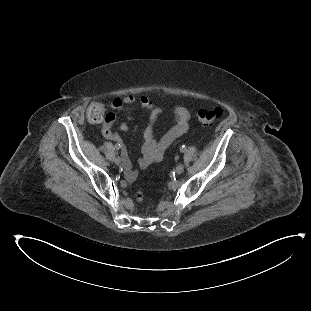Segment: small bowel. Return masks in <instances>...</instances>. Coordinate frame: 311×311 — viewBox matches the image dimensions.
I'll return each mask as SVG.
<instances>
[{
	"instance_id": "small-bowel-1",
	"label": "small bowel",
	"mask_w": 311,
	"mask_h": 311,
	"mask_svg": "<svg viewBox=\"0 0 311 311\" xmlns=\"http://www.w3.org/2000/svg\"><path fill=\"white\" fill-rule=\"evenodd\" d=\"M138 101L139 106L146 110L149 114V123L144 132V143L142 147V156L138 159L140 168L145 169L152 163L162 160L165 151L170 145L181 135L188 132V121L190 119V112L183 107L177 108L175 111L174 125L159 139H155V124L159 116L165 111V107L156 105L146 96H141L138 100L132 96L124 98H116L108 103V106L117 111H123L127 106L132 105ZM129 129L127 122H122L118 131L111 130V124H104L102 133L106 138L119 141L123 133Z\"/></svg>"
}]
</instances>
